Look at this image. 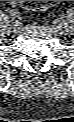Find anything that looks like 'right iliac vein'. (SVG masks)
<instances>
[{"instance_id": "63e3f726", "label": "right iliac vein", "mask_w": 74, "mask_h": 122, "mask_svg": "<svg viewBox=\"0 0 74 122\" xmlns=\"http://www.w3.org/2000/svg\"><path fill=\"white\" fill-rule=\"evenodd\" d=\"M19 30V24L18 23H15L14 26H13V31H18Z\"/></svg>"}]
</instances>
